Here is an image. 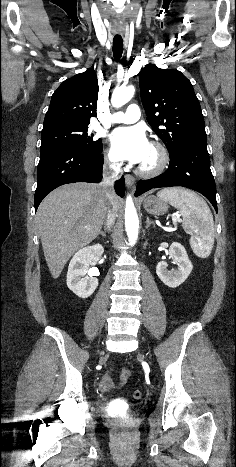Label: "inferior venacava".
Wrapping results in <instances>:
<instances>
[{"label":"inferior vena cava","mask_w":236,"mask_h":467,"mask_svg":"<svg viewBox=\"0 0 236 467\" xmlns=\"http://www.w3.org/2000/svg\"><path fill=\"white\" fill-rule=\"evenodd\" d=\"M103 183L102 187L105 190L106 196L109 199L114 197L113 182L119 178V168L115 164H106L103 168ZM117 209L115 206L107 207L105 226L110 229L116 219Z\"/></svg>","instance_id":"602c4592"}]
</instances>
